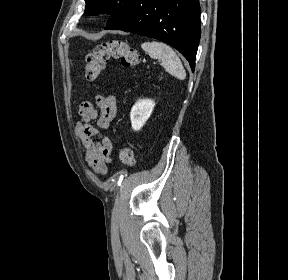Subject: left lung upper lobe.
<instances>
[{
    "mask_svg": "<svg viewBox=\"0 0 288 280\" xmlns=\"http://www.w3.org/2000/svg\"><path fill=\"white\" fill-rule=\"evenodd\" d=\"M85 2V14L107 13L110 15L107 24L110 25L127 11L134 0H85Z\"/></svg>",
    "mask_w": 288,
    "mask_h": 280,
    "instance_id": "1",
    "label": "left lung upper lobe"
}]
</instances>
